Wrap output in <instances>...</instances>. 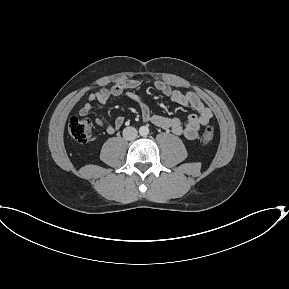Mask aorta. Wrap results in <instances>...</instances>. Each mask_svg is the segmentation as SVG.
Returning <instances> with one entry per match:
<instances>
[{
    "mask_svg": "<svg viewBox=\"0 0 289 289\" xmlns=\"http://www.w3.org/2000/svg\"><path fill=\"white\" fill-rule=\"evenodd\" d=\"M139 134L141 136H147L149 134V128L147 126H141L139 128Z\"/></svg>",
    "mask_w": 289,
    "mask_h": 289,
    "instance_id": "762f6f07",
    "label": "aorta"
}]
</instances>
